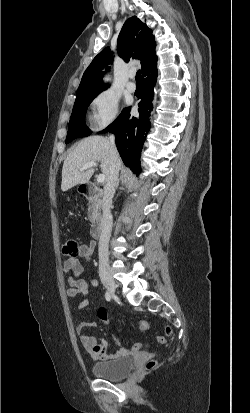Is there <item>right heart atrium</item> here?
Here are the masks:
<instances>
[{
	"instance_id": "right-heart-atrium-1",
	"label": "right heart atrium",
	"mask_w": 250,
	"mask_h": 413,
	"mask_svg": "<svg viewBox=\"0 0 250 413\" xmlns=\"http://www.w3.org/2000/svg\"><path fill=\"white\" fill-rule=\"evenodd\" d=\"M118 113V97L111 91H102L90 103L89 125L94 131L102 130L117 119Z\"/></svg>"
}]
</instances>
